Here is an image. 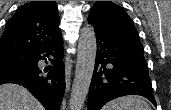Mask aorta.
<instances>
[{"label":"aorta","mask_w":171,"mask_h":110,"mask_svg":"<svg viewBox=\"0 0 171 110\" xmlns=\"http://www.w3.org/2000/svg\"><path fill=\"white\" fill-rule=\"evenodd\" d=\"M96 35L92 26L82 28L78 40L75 77L69 101L70 110H81L89 91L96 58Z\"/></svg>","instance_id":"obj_1"}]
</instances>
